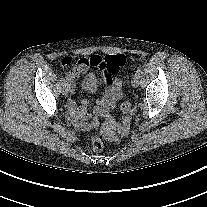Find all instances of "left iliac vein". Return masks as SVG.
<instances>
[{
  "label": "left iliac vein",
  "mask_w": 207,
  "mask_h": 207,
  "mask_svg": "<svg viewBox=\"0 0 207 207\" xmlns=\"http://www.w3.org/2000/svg\"><path fill=\"white\" fill-rule=\"evenodd\" d=\"M131 83L133 87H138L140 83V77L138 75H134Z\"/></svg>",
  "instance_id": "4c4485c4"
}]
</instances>
